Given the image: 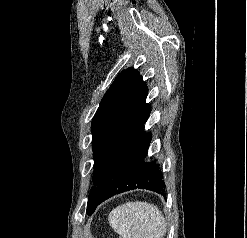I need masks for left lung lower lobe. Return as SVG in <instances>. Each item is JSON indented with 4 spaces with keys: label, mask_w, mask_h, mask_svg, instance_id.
Returning a JSON list of instances; mask_svg holds the SVG:
<instances>
[{
    "label": "left lung lower lobe",
    "mask_w": 247,
    "mask_h": 238,
    "mask_svg": "<svg viewBox=\"0 0 247 238\" xmlns=\"http://www.w3.org/2000/svg\"><path fill=\"white\" fill-rule=\"evenodd\" d=\"M148 117L106 169L98 186L97 205L116 194L136 188L166 196L158 165L154 161L143 162L152 138L151 133L144 132Z\"/></svg>",
    "instance_id": "0a47b994"
}]
</instances>
